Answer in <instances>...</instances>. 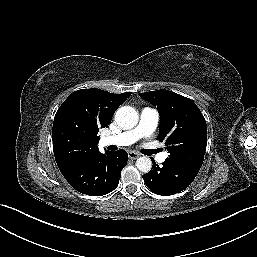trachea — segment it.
Returning a JSON list of instances; mask_svg holds the SVG:
<instances>
[{"mask_svg":"<svg viewBox=\"0 0 257 257\" xmlns=\"http://www.w3.org/2000/svg\"><path fill=\"white\" fill-rule=\"evenodd\" d=\"M161 151V149L160 148H158V149H154V150H147V154H155V153H158V152H160Z\"/></svg>","mask_w":257,"mask_h":257,"instance_id":"1","label":"trachea"}]
</instances>
